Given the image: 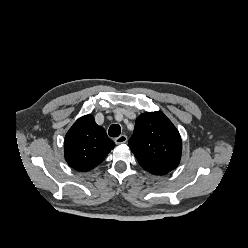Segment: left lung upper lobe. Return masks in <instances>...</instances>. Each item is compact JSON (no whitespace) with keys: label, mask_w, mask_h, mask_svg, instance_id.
<instances>
[{"label":"left lung upper lobe","mask_w":248,"mask_h":248,"mask_svg":"<svg viewBox=\"0 0 248 248\" xmlns=\"http://www.w3.org/2000/svg\"><path fill=\"white\" fill-rule=\"evenodd\" d=\"M129 147L139 164L154 175L169 173L181 159L180 134L161 111L139 115Z\"/></svg>","instance_id":"1"}]
</instances>
